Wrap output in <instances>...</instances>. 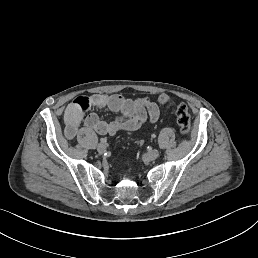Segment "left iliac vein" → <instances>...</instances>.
<instances>
[{"label":"left iliac vein","mask_w":258,"mask_h":258,"mask_svg":"<svg viewBox=\"0 0 258 258\" xmlns=\"http://www.w3.org/2000/svg\"><path fill=\"white\" fill-rule=\"evenodd\" d=\"M159 155V150L158 149H153L150 153L145 154V159L153 161L155 158H157Z\"/></svg>","instance_id":"left-iliac-vein-1"}]
</instances>
